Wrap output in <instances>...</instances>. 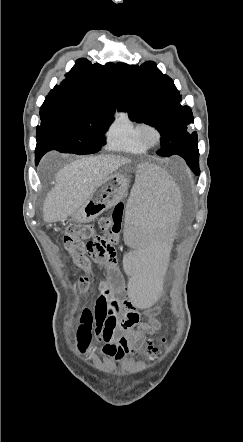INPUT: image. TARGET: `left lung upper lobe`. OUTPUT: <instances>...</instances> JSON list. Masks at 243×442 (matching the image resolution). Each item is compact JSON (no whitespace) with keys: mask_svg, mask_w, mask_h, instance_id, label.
Instances as JSON below:
<instances>
[{"mask_svg":"<svg viewBox=\"0 0 243 442\" xmlns=\"http://www.w3.org/2000/svg\"><path fill=\"white\" fill-rule=\"evenodd\" d=\"M117 66L121 79L118 110L127 111L132 121L150 124L161 133L158 155L178 154L198 174L197 133L187 130L194 118L190 107L181 104L173 80L152 61L141 66Z\"/></svg>","mask_w":243,"mask_h":442,"instance_id":"5c2ea615","label":"left lung upper lobe"}]
</instances>
